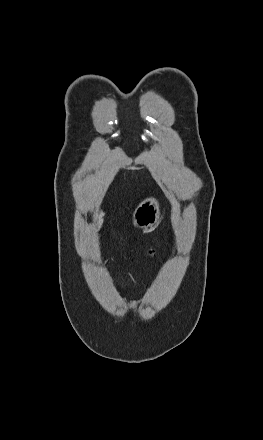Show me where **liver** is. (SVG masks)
<instances>
[{
    "instance_id": "liver-1",
    "label": "liver",
    "mask_w": 263,
    "mask_h": 440,
    "mask_svg": "<svg viewBox=\"0 0 263 440\" xmlns=\"http://www.w3.org/2000/svg\"><path fill=\"white\" fill-rule=\"evenodd\" d=\"M103 216H104L103 212L96 213V218L98 219V221H97L98 229H100L103 224Z\"/></svg>"
}]
</instances>
